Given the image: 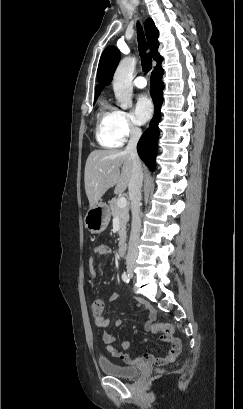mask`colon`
<instances>
[{"label": "colon", "mask_w": 243, "mask_h": 409, "mask_svg": "<svg viewBox=\"0 0 243 409\" xmlns=\"http://www.w3.org/2000/svg\"><path fill=\"white\" fill-rule=\"evenodd\" d=\"M103 309V302L101 299H96L92 303V312L94 315L99 314ZM153 332H163L165 334L173 333V326L167 323H157L152 327Z\"/></svg>", "instance_id": "1"}]
</instances>
